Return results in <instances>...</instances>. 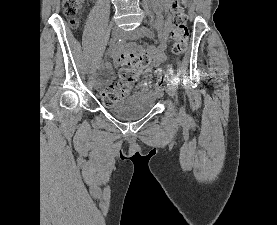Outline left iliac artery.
<instances>
[{
	"label": "left iliac artery",
	"instance_id": "44dca946",
	"mask_svg": "<svg viewBox=\"0 0 277 225\" xmlns=\"http://www.w3.org/2000/svg\"><path fill=\"white\" fill-rule=\"evenodd\" d=\"M142 32L143 34L148 37V38H154V34L153 32L146 26H142ZM172 79L176 82V83H179V77L177 75H173L172 76Z\"/></svg>",
	"mask_w": 277,
	"mask_h": 225
}]
</instances>
